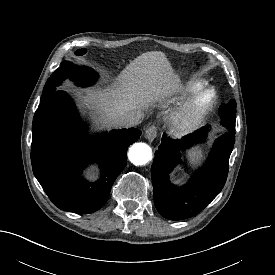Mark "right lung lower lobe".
I'll list each match as a JSON object with an SVG mask.
<instances>
[{"mask_svg":"<svg viewBox=\"0 0 275 275\" xmlns=\"http://www.w3.org/2000/svg\"><path fill=\"white\" fill-rule=\"evenodd\" d=\"M85 130L73 101L61 90L39 105L32 124L35 177L58 208L78 214L93 213L107 201L126 166L128 147L141 135L136 128L112 130L88 145ZM89 161H97L102 168L95 183L79 177Z\"/></svg>","mask_w":275,"mask_h":275,"instance_id":"1","label":"right lung lower lobe"}]
</instances>
